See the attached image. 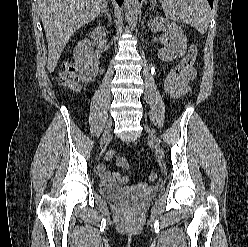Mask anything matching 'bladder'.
I'll return each instance as SVG.
<instances>
[{"mask_svg": "<svg viewBox=\"0 0 248 247\" xmlns=\"http://www.w3.org/2000/svg\"><path fill=\"white\" fill-rule=\"evenodd\" d=\"M135 188L133 187H119L114 185H105L102 184L99 186V192L102 196L106 198H110L113 200H122L127 193L133 192ZM152 190L149 191V193H146L147 195L150 194ZM139 199L144 198V196H138Z\"/></svg>", "mask_w": 248, "mask_h": 247, "instance_id": "bladder-1", "label": "bladder"}]
</instances>
